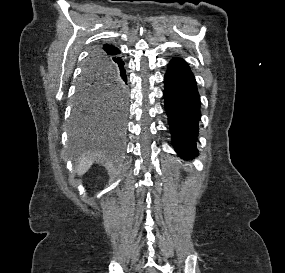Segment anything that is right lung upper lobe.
I'll return each instance as SVG.
<instances>
[{
	"mask_svg": "<svg viewBox=\"0 0 285 273\" xmlns=\"http://www.w3.org/2000/svg\"><path fill=\"white\" fill-rule=\"evenodd\" d=\"M96 51L101 53L102 55L108 57V58L120 53V51L117 47H114V46L108 45V44H105L102 47L97 48Z\"/></svg>",
	"mask_w": 285,
	"mask_h": 273,
	"instance_id": "obj_1",
	"label": "right lung upper lobe"
}]
</instances>
